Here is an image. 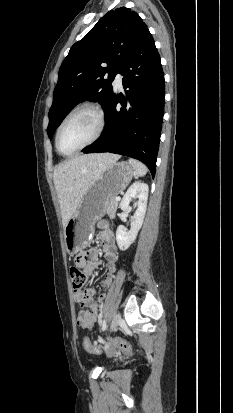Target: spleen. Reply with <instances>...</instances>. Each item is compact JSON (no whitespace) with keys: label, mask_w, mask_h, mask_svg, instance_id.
<instances>
[{"label":"spleen","mask_w":233,"mask_h":413,"mask_svg":"<svg viewBox=\"0 0 233 413\" xmlns=\"http://www.w3.org/2000/svg\"><path fill=\"white\" fill-rule=\"evenodd\" d=\"M129 163L134 168L136 176L142 177V176L146 175L148 170H147V167L143 163H141V162H139L135 159H129Z\"/></svg>","instance_id":"obj_1"}]
</instances>
